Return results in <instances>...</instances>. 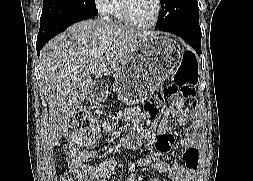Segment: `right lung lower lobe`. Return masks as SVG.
<instances>
[{
	"instance_id": "98d812e1",
	"label": "right lung lower lobe",
	"mask_w": 253,
	"mask_h": 181,
	"mask_svg": "<svg viewBox=\"0 0 253 181\" xmlns=\"http://www.w3.org/2000/svg\"><path fill=\"white\" fill-rule=\"evenodd\" d=\"M93 14L84 13V12H75L67 14L59 19L40 24V30L37 36L36 49L39 56L40 50L51 38L57 34L63 32L73 23L78 21L86 20Z\"/></svg>"
}]
</instances>
